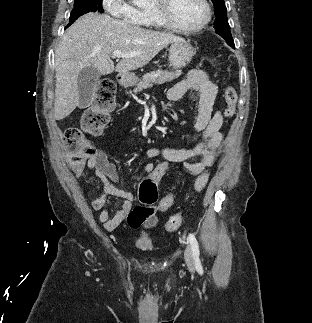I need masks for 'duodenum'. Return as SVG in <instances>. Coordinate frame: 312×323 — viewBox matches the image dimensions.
<instances>
[{"label": "duodenum", "instance_id": "obj_1", "mask_svg": "<svg viewBox=\"0 0 312 323\" xmlns=\"http://www.w3.org/2000/svg\"><path fill=\"white\" fill-rule=\"evenodd\" d=\"M120 85L127 87L133 82V76L128 73H122L118 76Z\"/></svg>", "mask_w": 312, "mask_h": 323}]
</instances>
